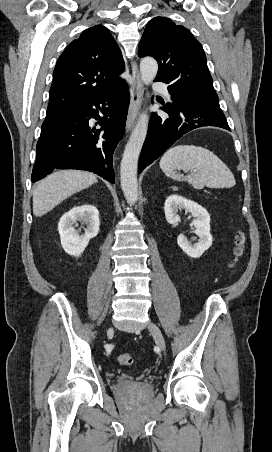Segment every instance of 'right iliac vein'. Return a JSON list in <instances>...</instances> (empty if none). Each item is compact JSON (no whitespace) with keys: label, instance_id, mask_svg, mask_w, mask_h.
Wrapping results in <instances>:
<instances>
[{"label":"right iliac vein","instance_id":"63e3f726","mask_svg":"<svg viewBox=\"0 0 272 452\" xmlns=\"http://www.w3.org/2000/svg\"><path fill=\"white\" fill-rule=\"evenodd\" d=\"M112 333H113V328L112 327L108 328L107 335H111Z\"/></svg>","mask_w":272,"mask_h":452}]
</instances>
